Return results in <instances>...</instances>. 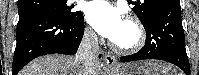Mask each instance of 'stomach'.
Listing matches in <instances>:
<instances>
[{
    "label": "stomach",
    "mask_w": 199,
    "mask_h": 75,
    "mask_svg": "<svg viewBox=\"0 0 199 75\" xmlns=\"http://www.w3.org/2000/svg\"><path fill=\"white\" fill-rule=\"evenodd\" d=\"M163 67H166L165 69ZM169 64L158 61H142L124 64L118 75H172Z\"/></svg>",
    "instance_id": "1"
}]
</instances>
